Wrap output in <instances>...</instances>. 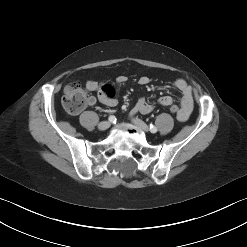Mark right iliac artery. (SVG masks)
Wrapping results in <instances>:
<instances>
[{"instance_id":"82829eb1","label":"right iliac artery","mask_w":247,"mask_h":247,"mask_svg":"<svg viewBox=\"0 0 247 247\" xmlns=\"http://www.w3.org/2000/svg\"><path fill=\"white\" fill-rule=\"evenodd\" d=\"M109 121L112 122V123H115L116 122V117L115 116H110L109 117Z\"/></svg>"}]
</instances>
